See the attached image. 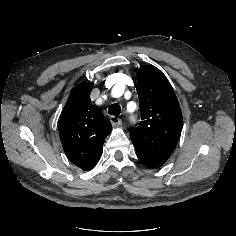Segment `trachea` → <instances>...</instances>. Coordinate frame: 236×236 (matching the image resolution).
Wrapping results in <instances>:
<instances>
[{"instance_id": "1", "label": "trachea", "mask_w": 236, "mask_h": 236, "mask_svg": "<svg viewBox=\"0 0 236 236\" xmlns=\"http://www.w3.org/2000/svg\"><path fill=\"white\" fill-rule=\"evenodd\" d=\"M108 113H109L110 115H114V116L120 115V113H121V107H120V105H118V104H116V103L110 105L109 108H108Z\"/></svg>"}]
</instances>
